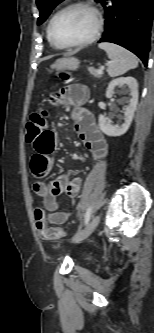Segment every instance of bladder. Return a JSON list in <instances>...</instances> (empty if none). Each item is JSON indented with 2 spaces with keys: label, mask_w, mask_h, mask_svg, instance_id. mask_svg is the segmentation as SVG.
I'll return each instance as SVG.
<instances>
[{
  "label": "bladder",
  "mask_w": 154,
  "mask_h": 333,
  "mask_svg": "<svg viewBox=\"0 0 154 333\" xmlns=\"http://www.w3.org/2000/svg\"><path fill=\"white\" fill-rule=\"evenodd\" d=\"M56 247H60V244H57Z\"/></svg>",
  "instance_id": "31cf9c89"
}]
</instances>
